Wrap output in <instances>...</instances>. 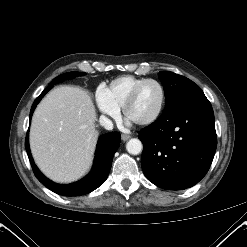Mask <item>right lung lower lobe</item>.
<instances>
[{"label":"right lung lower lobe","instance_id":"1","mask_svg":"<svg viewBox=\"0 0 247 247\" xmlns=\"http://www.w3.org/2000/svg\"><path fill=\"white\" fill-rule=\"evenodd\" d=\"M52 87L53 85L50 84V86L44 89V91L36 98L30 111V118L41 98ZM119 146H120V133L110 132L102 135L98 140L94 165L91 172L85 178H83L78 182L61 185L54 183L53 181L49 180L41 173V171L35 165L33 158L31 156L28 134L26 136V141H25L26 151L33 172L37 177V179L51 191L63 196H79V195L88 194L93 190L97 189L99 186H101L105 182L109 174L113 156L117 151V149L119 148Z\"/></svg>","mask_w":247,"mask_h":247}]
</instances>
